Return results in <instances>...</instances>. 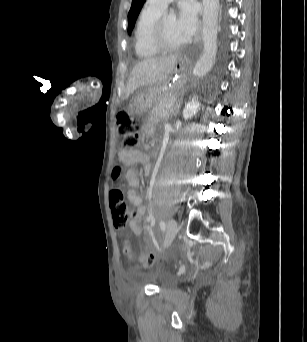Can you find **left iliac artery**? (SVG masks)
<instances>
[{"label":"left iliac artery","mask_w":307,"mask_h":342,"mask_svg":"<svg viewBox=\"0 0 307 342\" xmlns=\"http://www.w3.org/2000/svg\"><path fill=\"white\" fill-rule=\"evenodd\" d=\"M151 196H152V194H151ZM150 217L153 219V216H152V214L150 215ZM160 228H161V230L164 232L165 231V228H166V224H165V222L164 221H160Z\"/></svg>","instance_id":"left-iliac-artery-1"}]
</instances>
